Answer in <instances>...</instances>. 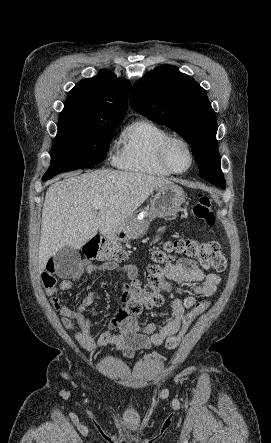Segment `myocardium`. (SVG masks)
Instances as JSON below:
<instances>
[{"label":"myocardium","instance_id":"myocardium-1","mask_svg":"<svg viewBox=\"0 0 271 443\" xmlns=\"http://www.w3.org/2000/svg\"><path fill=\"white\" fill-rule=\"evenodd\" d=\"M173 141H180L182 142L189 150L190 155H191V164L190 166L186 169V170H177L175 169L171 162L169 161L168 158V148L169 145L173 142ZM159 157L161 162L164 164L165 167H167L172 173L174 174H184L189 172L195 165V151L191 145V143L185 139L182 136L179 135H175V134H169L160 144L159 146Z\"/></svg>","mask_w":271,"mask_h":443}]
</instances>
